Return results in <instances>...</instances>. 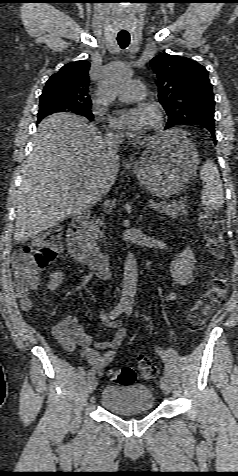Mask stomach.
I'll return each mask as SVG.
<instances>
[{"instance_id":"stomach-1","label":"stomach","mask_w":238,"mask_h":476,"mask_svg":"<svg viewBox=\"0 0 238 476\" xmlns=\"http://www.w3.org/2000/svg\"><path fill=\"white\" fill-rule=\"evenodd\" d=\"M199 163L198 151L187 134L170 130L152 139L133 170L153 195L171 197L188 185Z\"/></svg>"}]
</instances>
